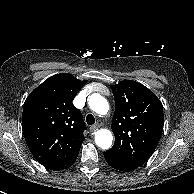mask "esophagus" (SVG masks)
<instances>
[{"instance_id": "esophagus-1", "label": "esophagus", "mask_w": 194, "mask_h": 194, "mask_svg": "<svg viewBox=\"0 0 194 194\" xmlns=\"http://www.w3.org/2000/svg\"><path fill=\"white\" fill-rule=\"evenodd\" d=\"M99 127H100V125L98 123H96L95 125H92L90 127V131L91 132H95V131H97L99 129Z\"/></svg>"}]
</instances>
